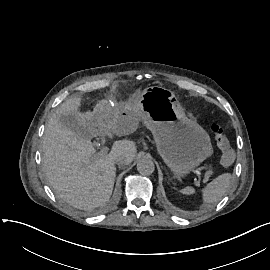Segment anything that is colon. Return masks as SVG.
<instances>
[{
    "label": "colon",
    "mask_w": 270,
    "mask_h": 270,
    "mask_svg": "<svg viewBox=\"0 0 270 270\" xmlns=\"http://www.w3.org/2000/svg\"><path fill=\"white\" fill-rule=\"evenodd\" d=\"M203 124L207 126L216 139L217 147L222 151L221 160L225 164H230L234 160L233 149L230 142L224 134L223 128L209 119L204 118Z\"/></svg>",
    "instance_id": "obj_1"
}]
</instances>
